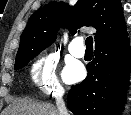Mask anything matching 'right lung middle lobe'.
Returning a JSON list of instances; mask_svg holds the SVG:
<instances>
[{
    "label": "right lung middle lobe",
    "instance_id": "right-lung-middle-lobe-1",
    "mask_svg": "<svg viewBox=\"0 0 131 115\" xmlns=\"http://www.w3.org/2000/svg\"><path fill=\"white\" fill-rule=\"evenodd\" d=\"M42 50H30L16 58L15 69L23 68L27 63L38 55Z\"/></svg>",
    "mask_w": 131,
    "mask_h": 115
}]
</instances>
